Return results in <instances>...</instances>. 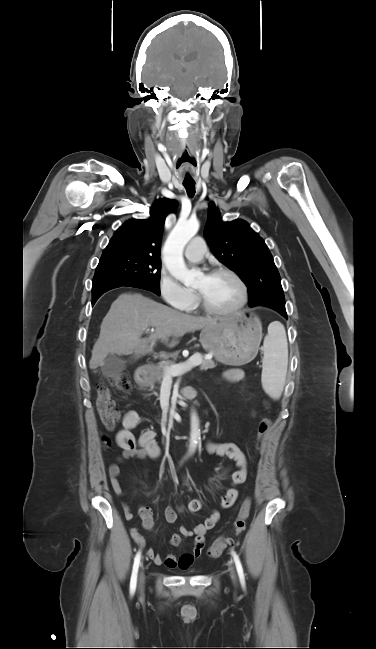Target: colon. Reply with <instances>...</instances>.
<instances>
[{
  "instance_id": "obj_1",
  "label": "colon",
  "mask_w": 376,
  "mask_h": 649,
  "mask_svg": "<svg viewBox=\"0 0 376 649\" xmlns=\"http://www.w3.org/2000/svg\"><path fill=\"white\" fill-rule=\"evenodd\" d=\"M110 387L115 388L121 392H129L131 389V382L127 375L119 374L109 380L108 384H101L98 388V396L96 399L97 411L104 426L111 430L119 421V412L115 409L114 401L111 394ZM271 429V420L268 417H262L257 424V438L259 446L262 445L266 436ZM251 509V499L246 498L239 510V513L234 521L233 533L239 534L245 529L246 521L249 517ZM230 538H219L215 540L209 547L208 553L211 557H219L226 546L230 543Z\"/></svg>"
}]
</instances>
